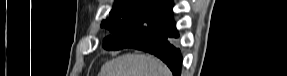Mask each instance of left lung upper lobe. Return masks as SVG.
<instances>
[{"label":"left lung upper lobe","mask_w":287,"mask_h":76,"mask_svg":"<svg viewBox=\"0 0 287 76\" xmlns=\"http://www.w3.org/2000/svg\"><path fill=\"white\" fill-rule=\"evenodd\" d=\"M172 0H115L101 26L113 35L104 40L107 50H119L161 27L172 15Z\"/></svg>","instance_id":"left-lung-upper-lobe-1"}]
</instances>
